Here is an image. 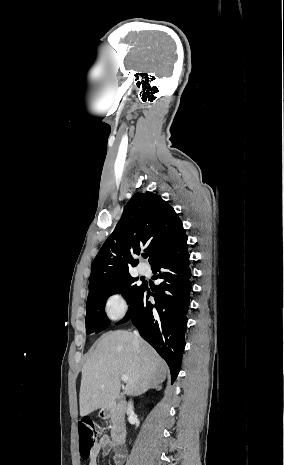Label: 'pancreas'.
Returning a JSON list of instances; mask_svg holds the SVG:
<instances>
[{
    "instance_id": "obj_1",
    "label": "pancreas",
    "mask_w": 284,
    "mask_h": 465,
    "mask_svg": "<svg viewBox=\"0 0 284 465\" xmlns=\"http://www.w3.org/2000/svg\"><path fill=\"white\" fill-rule=\"evenodd\" d=\"M111 419H112V423H113V421H114V417H111Z\"/></svg>"
}]
</instances>
